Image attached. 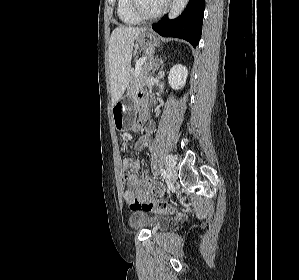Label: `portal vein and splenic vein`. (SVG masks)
<instances>
[{
  "label": "portal vein and splenic vein",
  "mask_w": 299,
  "mask_h": 280,
  "mask_svg": "<svg viewBox=\"0 0 299 280\" xmlns=\"http://www.w3.org/2000/svg\"><path fill=\"white\" fill-rule=\"evenodd\" d=\"M146 61V59L144 58V59H142L140 62H139V64L136 66V69H135V74H136V77H138L139 76V74H140V71H141V66H142V64L144 63Z\"/></svg>",
  "instance_id": "obj_1"
}]
</instances>
